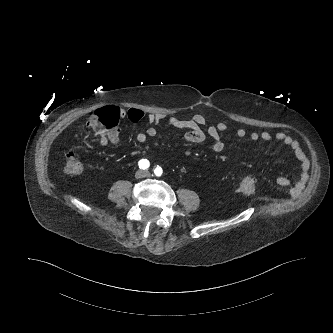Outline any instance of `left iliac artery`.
<instances>
[{"label":"left iliac artery","mask_w":333,"mask_h":333,"mask_svg":"<svg viewBox=\"0 0 333 333\" xmlns=\"http://www.w3.org/2000/svg\"><path fill=\"white\" fill-rule=\"evenodd\" d=\"M162 173H163V170H162V168H161L160 166L155 167V169H154V174H155L156 176H161Z\"/></svg>","instance_id":"44dca946"}]
</instances>
